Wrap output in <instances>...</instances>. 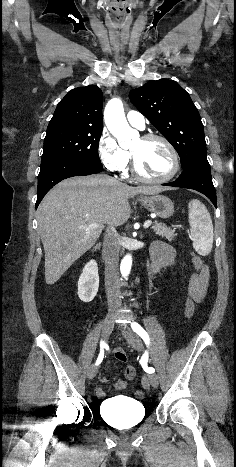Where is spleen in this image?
Here are the masks:
<instances>
[{
    "mask_svg": "<svg viewBox=\"0 0 236 467\" xmlns=\"http://www.w3.org/2000/svg\"><path fill=\"white\" fill-rule=\"evenodd\" d=\"M189 224L193 247L202 255H208L213 245V224L207 208L199 200H192L188 204Z\"/></svg>",
    "mask_w": 236,
    "mask_h": 467,
    "instance_id": "3e777b00",
    "label": "spleen"
}]
</instances>
